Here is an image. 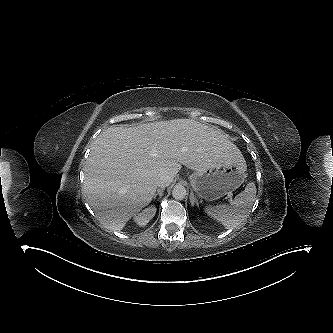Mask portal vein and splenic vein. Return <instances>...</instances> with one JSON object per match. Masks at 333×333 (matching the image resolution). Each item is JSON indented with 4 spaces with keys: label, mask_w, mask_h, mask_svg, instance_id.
I'll return each mask as SVG.
<instances>
[{
    "label": "portal vein and splenic vein",
    "mask_w": 333,
    "mask_h": 333,
    "mask_svg": "<svg viewBox=\"0 0 333 333\" xmlns=\"http://www.w3.org/2000/svg\"><path fill=\"white\" fill-rule=\"evenodd\" d=\"M228 197L231 199V197H232L231 194H229Z\"/></svg>",
    "instance_id": "18ae733b"
}]
</instances>
